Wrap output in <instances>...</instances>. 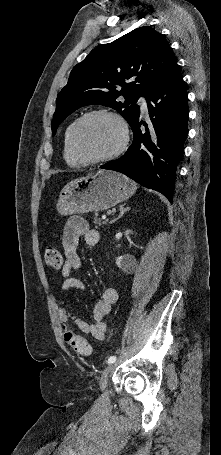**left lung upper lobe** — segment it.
Here are the masks:
<instances>
[{
	"label": "left lung upper lobe",
	"mask_w": 221,
	"mask_h": 455,
	"mask_svg": "<svg viewBox=\"0 0 221 455\" xmlns=\"http://www.w3.org/2000/svg\"><path fill=\"white\" fill-rule=\"evenodd\" d=\"M175 63L165 38L148 26L93 49L57 96L53 135L68 115L91 104L115 109L131 126L140 114L138 99L146 98Z\"/></svg>",
	"instance_id": "5c2ea615"
}]
</instances>
